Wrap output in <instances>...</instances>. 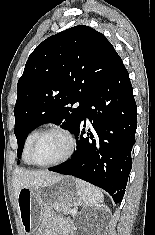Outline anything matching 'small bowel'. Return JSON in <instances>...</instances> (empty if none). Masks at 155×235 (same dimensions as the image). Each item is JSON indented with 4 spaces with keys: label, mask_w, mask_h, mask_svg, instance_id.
I'll use <instances>...</instances> for the list:
<instances>
[{
    "label": "small bowel",
    "mask_w": 155,
    "mask_h": 235,
    "mask_svg": "<svg viewBox=\"0 0 155 235\" xmlns=\"http://www.w3.org/2000/svg\"><path fill=\"white\" fill-rule=\"evenodd\" d=\"M44 235H69L64 221H48L44 229Z\"/></svg>",
    "instance_id": "1"
}]
</instances>
